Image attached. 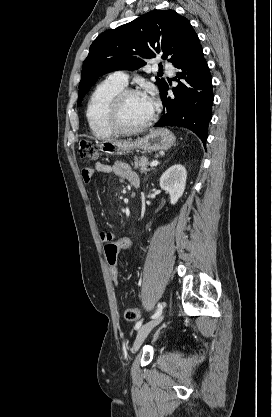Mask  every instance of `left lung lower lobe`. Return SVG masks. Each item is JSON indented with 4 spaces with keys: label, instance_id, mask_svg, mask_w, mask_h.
Segmentation results:
<instances>
[{
    "label": "left lung lower lobe",
    "instance_id": "obj_1",
    "mask_svg": "<svg viewBox=\"0 0 272 417\" xmlns=\"http://www.w3.org/2000/svg\"><path fill=\"white\" fill-rule=\"evenodd\" d=\"M175 67L176 78L184 79L172 89L174 98L167 97L168 85L161 94L165 106L164 114L154 125L177 126L192 130L206 145L208 125L212 118L213 87L209 67L203 56L202 47L181 60Z\"/></svg>",
    "mask_w": 272,
    "mask_h": 417
}]
</instances>
